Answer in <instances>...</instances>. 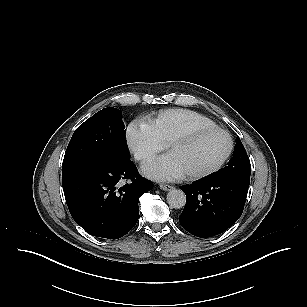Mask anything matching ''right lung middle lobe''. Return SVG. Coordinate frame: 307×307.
I'll return each mask as SVG.
<instances>
[{
    "label": "right lung middle lobe",
    "instance_id": "1",
    "mask_svg": "<svg viewBox=\"0 0 307 307\" xmlns=\"http://www.w3.org/2000/svg\"><path fill=\"white\" fill-rule=\"evenodd\" d=\"M125 134L120 110H100L74 132L65 152L62 169L103 155L129 159Z\"/></svg>",
    "mask_w": 307,
    "mask_h": 307
}]
</instances>
